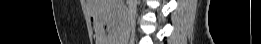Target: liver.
Returning a JSON list of instances; mask_svg holds the SVG:
<instances>
[{
	"label": "liver",
	"mask_w": 261,
	"mask_h": 44,
	"mask_svg": "<svg viewBox=\"0 0 261 44\" xmlns=\"http://www.w3.org/2000/svg\"><path fill=\"white\" fill-rule=\"evenodd\" d=\"M90 13L95 19V30H98L97 44H126L124 35L126 25H100V24H133L129 19L124 0H87Z\"/></svg>",
	"instance_id": "liver-1"
}]
</instances>
